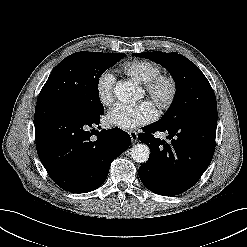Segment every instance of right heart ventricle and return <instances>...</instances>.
Segmentation results:
<instances>
[{"instance_id":"e07e8e85","label":"right heart ventricle","mask_w":247,"mask_h":247,"mask_svg":"<svg viewBox=\"0 0 247 247\" xmlns=\"http://www.w3.org/2000/svg\"><path fill=\"white\" fill-rule=\"evenodd\" d=\"M121 70L125 75L141 84L152 80L162 72V68L159 64L148 60L126 62Z\"/></svg>"}]
</instances>
